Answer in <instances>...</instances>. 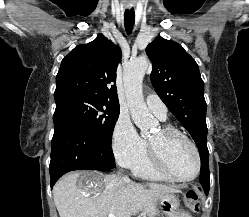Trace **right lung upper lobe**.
Segmentation results:
<instances>
[{
  "mask_svg": "<svg viewBox=\"0 0 249 217\" xmlns=\"http://www.w3.org/2000/svg\"><path fill=\"white\" fill-rule=\"evenodd\" d=\"M121 50L103 35L75 47L61 62L54 96L78 93L118 104L116 70Z\"/></svg>",
  "mask_w": 249,
  "mask_h": 217,
  "instance_id": "cb5924a9",
  "label": "right lung upper lobe"
}]
</instances>
